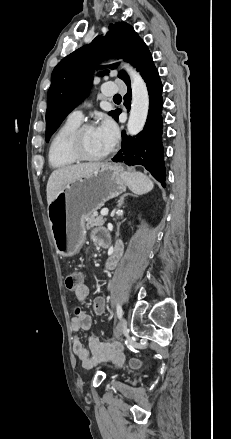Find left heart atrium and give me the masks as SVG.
I'll list each match as a JSON object with an SVG mask.
<instances>
[{"instance_id":"obj_1","label":"left heart atrium","mask_w":231,"mask_h":439,"mask_svg":"<svg viewBox=\"0 0 231 439\" xmlns=\"http://www.w3.org/2000/svg\"><path fill=\"white\" fill-rule=\"evenodd\" d=\"M96 132L107 149H112L118 139V129L115 123L111 119H104L96 128Z\"/></svg>"}]
</instances>
